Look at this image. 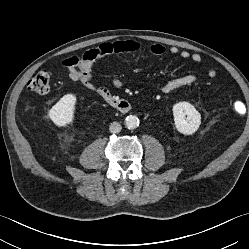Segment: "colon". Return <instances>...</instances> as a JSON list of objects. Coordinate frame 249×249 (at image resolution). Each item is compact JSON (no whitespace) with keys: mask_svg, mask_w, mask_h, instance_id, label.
<instances>
[{"mask_svg":"<svg viewBox=\"0 0 249 249\" xmlns=\"http://www.w3.org/2000/svg\"><path fill=\"white\" fill-rule=\"evenodd\" d=\"M50 73L47 70H40L28 84V88L37 93L45 94L48 92L50 87ZM233 110L237 114H242L245 111V105L241 100H235L233 102Z\"/></svg>","mask_w":249,"mask_h":249,"instance_id":"colon-1","label":"colon"}]
</instances>
